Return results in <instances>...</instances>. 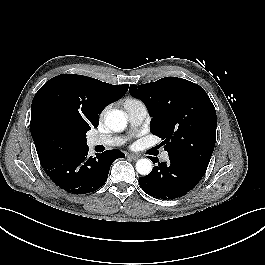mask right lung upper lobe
I'll list each match as a JSON object with an SVG mask.
<instances>
[{
    "label": "right lung upper lobe",
    "mask_w": 265,
    "mask_h": 265,
    "mask_svg": "<svg viewBox=\"0 0 265 265\" xmlns=\"http://www.w3.org/2000/svg\"><path fill=\"white\" fill-rule=\"evenodd\" d=\"M129 85H111L75 74H61L47 81L35 94L31 106V135L42 118H53L71 134L77 148L85 147L86 132L97 127L99 114L120 99ZM76 148V149H77Z\"/></svg>",
    "instance_id": "right-lung-upper-lobe-1"
}]
</instances>
